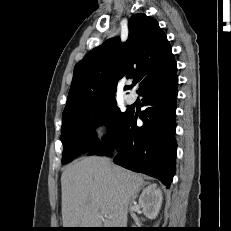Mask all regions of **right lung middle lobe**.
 <instances>
[{
	"label": "right lung middle lobe",
	"mask_w": 231,
	"mask_h": 231,
	"mask_svg": "<svg viewBox=\"0 0 231 231\" xmlns=\"http://www.w3.org/2000/svg\"><path fill=\"white\" fill-rule=\"evenodd\" d=\"M116 104V101L112 100L96 107L63 115L60 139L63 144L64 164L85 152L97 149L117 132L129 110L121 112ZM102 122H107L111 130L107 136L97 142L94 129Z\"/></svg>",
	"instance_id": "dd1d6c3e"
}]
</instances>
